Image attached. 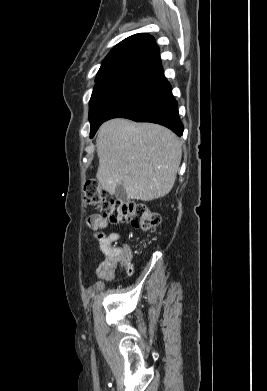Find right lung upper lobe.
I'll use <instances>...</instances> for the list:
<instances>
[{
	"label": "right lung upper lobe",
	"mask_w": 267,
	"mask_h": 391,
	"mask_svg": "<svg viewBox=\"0 0 267 391\" xmlns=\"http://www.w3.org/2000/svg\"><path fill=\"white\" fill-rule=\"evenodd\" d=\"M163 72L159 48L146 33L132 35L117 44L105 57L96 79L115 74L155 77Z\"/></svg>",
	"instance_id": "right-lung-upper-lobe-1"
}]
</instances>
